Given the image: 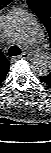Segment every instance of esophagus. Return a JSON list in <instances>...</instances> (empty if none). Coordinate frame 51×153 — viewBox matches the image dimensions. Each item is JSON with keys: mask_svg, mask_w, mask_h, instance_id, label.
Returning <instances> with one entry per match:
<instances>
[{"mask_svg": "<svg viewBox=\"0 0 51 153\" xmlns=\"http://www.w3.org/2000/svg\"><path fill=\"white\" fill-rule=\"evenodd\" d=\"M30 56L29 53L27 52H23L20 56H18L19 59H26Z\"/></svg>", "mask_w": 51, "mask_h": 153, "instance_id": "esophagus-1", "label": "esophagus"}]
</instances>
